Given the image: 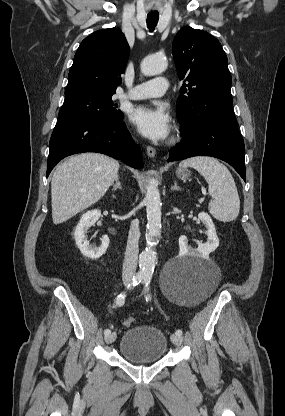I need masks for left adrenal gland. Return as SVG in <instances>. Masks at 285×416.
I'll return each instance as SVG.
<instances>
[{"label":"left adrenal gland","instance_id":"obj_1","mask_svg":"<svg viewBox=\"0 0 285 416\" xmlns=\"http://www.w3.org/2000/svg\"><path fill=\"white\" fill-rule=\"evenodd\" d=\"M171 190H178V192H181V188L177 186V182H174V186H172Z\"/></svg>","mask_w":285,"mask_h":416}]
</instances>
